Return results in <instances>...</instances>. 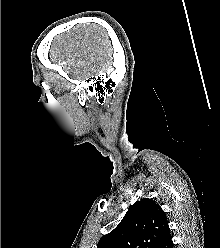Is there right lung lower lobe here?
<instances>
[{"label":"right lung lower lobe","mask_w":220,"mask_h":248,"mask_svg":"<svg viewBox=\"0 0 220 248\" xmlns=\"http://www.w3.org/2000/svg\"><path fill=\"white\" fill-rule=\"evenodd\" d=\"M161 248H173V242L171 236L165 241Z\"/></svg>","instance_id":"obj_1"}]
</instances>
